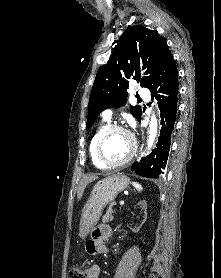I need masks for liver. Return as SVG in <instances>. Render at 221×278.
I'll list each match as a JSON object with an SVG mask.
<instances>
[{"instance_id":"1","label":"liver","mask_w":221,"mask_h":278,"mask_svg":"<svg viewBox=\"0 0 221 278\" xmlns=\"http://www.w3.org/2000/svg\"><path fill=\"white\" fill-rule=\"evenodd\" d=\"M97 178L98 177L96 175H85L81 179V181H80V183L78 185V189H77V198H78V200H80L82 198L86 186L89 183L95 181Z\"/></svg>"}]
</instances>
